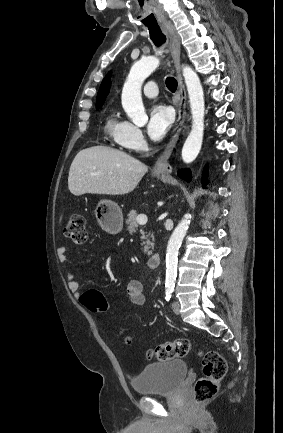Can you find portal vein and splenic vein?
<instances>
[{
  "label": "portal vein and splenic vein",
  "mask_w": 283,
  "mask_h": 433,
  "mask_svg": "<svg viewBox=\"0 0 283 433\" xmlns=\"http://www.w3.org/2000/svg\"><path fill=\"white\" fill-rule=\"evenodd\" d=\"M148 219L146 217V214H138L137 217V223H139V225H145V223H147Z\"/></svg>",
  "instance_id": "obj_1"
}]
</instances>
